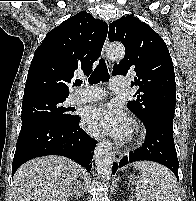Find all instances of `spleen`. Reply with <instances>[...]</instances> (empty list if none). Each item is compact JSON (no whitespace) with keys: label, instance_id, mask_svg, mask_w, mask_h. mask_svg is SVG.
Listing matches in <instances>:
<instances>
[{"label":"spleen","instance_id":"1","mask_svg":"<svg viewBox=\"0 0 196 201\" xmlns=\"http://www.w3.org/2000/svg\"><path fill=\"white\" fill-rule=\"evenodd\" d=\"M134 167L142 172L136 183L137 201H175L177 197L176 178L164 166L142 161Z\"/></svg>","mask_w":196,"mask_h":201}]
</instances>
